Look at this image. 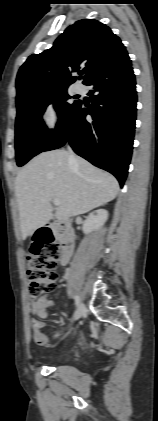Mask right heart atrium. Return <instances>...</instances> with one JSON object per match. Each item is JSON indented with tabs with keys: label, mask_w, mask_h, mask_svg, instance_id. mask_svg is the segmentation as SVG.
Wrapping results in <instances>:
<instances>
[{
	"label": "right heart atrium",
	"mask_w": 158,
	"mask_h": 421,
	"mask_svg": "<svg viewBox=\"0 0 158 421\" xmlns=\"http://www.w3.org/2000/svg\"><path fill=\"white\" fill-rule=\"evenodd\" d=\"M41 123L47 130H55L61 122V113L58 106L50 102L41 111Z\"/></svg>",
	"instance_id": "obj_1"
}]
</instances>
